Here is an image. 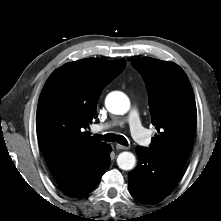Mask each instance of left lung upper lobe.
Here are the masks:
<instances>
[{"label": "left lung upper lobe", "instance_id": "1", "mask_svg": "<svg viewBox=\"0 0 221 221\" xmlns=\"http://www.w3.org/2000/svg\"><path fill=\"white\" fill-rule=\"evenodd\" d=\"M143 76L149 96L153 154L184 166L193 146L197 121L194 93L185 72L176 64L144 57L132 61Z\"/></svg>", "mask_w": 221, "mask_h": 221}]
</instances>
